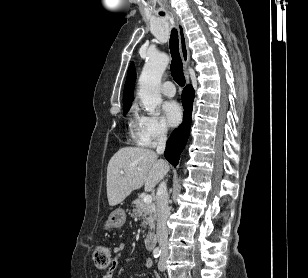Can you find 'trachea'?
<instances>
[{
    "label": "trachea",
    "instance_id": "1",
    "mask_svg": "<svg viewBox=\"0 0 308 278\" xmlns=\"http://www.w3.org/2000/svg\"><path fill=\"white\" fill-rule=\"evenodd\" d=\"M160 15H164V13H160ZM170 52L172 56L171 61V74L173 79L180 86L185 85V77L183 73V65L182 60L179 54V43H178V33L176 29H172L171 37H170Z\"/></svg>",
    "mask_w": 308,
    "mask_h": 278
}]
</instances>
